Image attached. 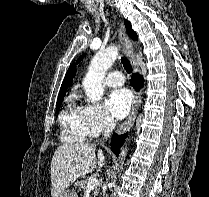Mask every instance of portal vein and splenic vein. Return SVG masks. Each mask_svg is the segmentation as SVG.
I'll return each mask as SVG.
<instances>
[{
    "mask_svg": "<svg viewBox=\"0 0 209 197\" xmlns=\"http://www.w3.org/2000/svg\"><path fill=\"white\" fill-rule=\"evenodd\" d=\"M99 184V180L97 178H93L91 179L88 183H87V190L86 192L96 188Z\"/></svg>",
    "mask_w": 209,
    "mask_h": 197,
    "instance_id": "portal-vein-and-splenic-vein-1",
    "label": "portal vein and splenic vein"
}]
</instances>
